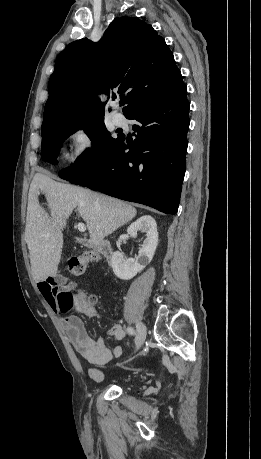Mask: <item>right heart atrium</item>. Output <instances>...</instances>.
I'll list each match as a JSON object with an SVG mask.
<instances>
[{"instance_id":"d8ad5b80","label":"right heart atrium","mask_w":261,"mask_h":459,"mask_svg":"<svg viewBox=\"0 0 261 459\" xmlns=\"http://www.w3.org/2000/svg\"><path fill=\"white\" fill-rule=\"evenodd\" d=\"M94 135L85 125L75 127L68 134L69 150L65 160L69 166L80 163L91 151L94 145Z\"/></svg>"}]
</instances>
